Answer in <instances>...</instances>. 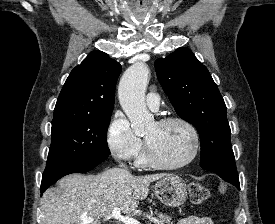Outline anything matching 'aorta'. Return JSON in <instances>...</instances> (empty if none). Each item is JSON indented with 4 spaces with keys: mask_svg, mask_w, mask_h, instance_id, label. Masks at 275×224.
<instances>
[{
    "mask_svg": "<svg viewBox=\"0 0 275 224\" xmlns=\"http://www.w3.org/2000/svg\"><path fill=\"white\" fill-rule=\"evenodd\" d=\"M148 76V66L137 62L125 71L119 83V101L136 135L143 134L154 122L145 103Z\"/></svg>",
    "mask_w": 275,
    "mask_h": 224,
    "instance_id": "1",
    "label": "aorta"
}]
</instances>
